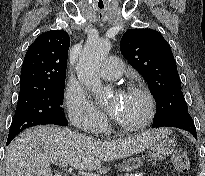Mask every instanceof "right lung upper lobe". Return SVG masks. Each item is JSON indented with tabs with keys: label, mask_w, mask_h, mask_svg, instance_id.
Instances as JSON below:
<instances>
[{
	"label": "right lung upper lobe",
	"mask_w": 205,
	"mask_h": 176,
	"mask_svg": "<svg viewBox=\"0 0 205 176\" xmlns=\"http://www.w3.org/2000/svg\"><path fill=\"white\" fill-rule=\"evenodd\" d=\"M70 38L62 30L39 35L25 55L19 95L65 83Z\"/></svg>",
	"instance_id": "1"
}]
</instances>
